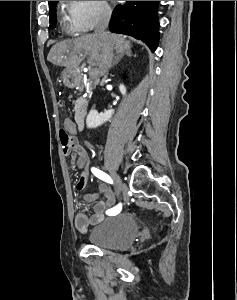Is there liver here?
Listing matches in <instances>:
<instances>
[{"instance_id": "6515ba94", "label": "liver", "mask_w": 237, "mask_h": 300, "mask_svg": "<svg viewBox=\"0 0 237 300\" xmlns=\"http://www.w3.org/2000/svg\"><path fill=\"white\" fill-rule=\"evenodd\" d=\"M114 49L116 53L123 55L127 49H130V41H125L122 35H113V33H105L104 37L83 35V37L53 45L47 61H50L52 65H59V67L74 71L89 55L88 63L93 67H99L100 75H104L116 59Z\"/></svg>"}]
</instances>
